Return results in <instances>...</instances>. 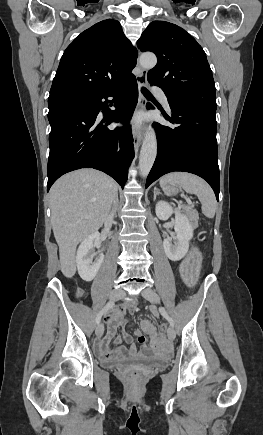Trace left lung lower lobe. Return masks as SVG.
Wrapping results in <instances>:
<instances>
[{"instance_id":"obj_1","label":"left lung lower lobe","mask_w":263,"mask_h":435,"mask_svg":"<svg viewBox=\"0 0 263 435\" xmlns=\"http://www.w3.org/2000/svg\"><path fill=\"white\" fill-rule=\"evenodd\" d=\"M176 127L154 123L158 153L148 175L146 188L173 171L196 174L205 179L219 200L220 175L216 140V110L169 101Z\"/></svg>"}]
</instances>
